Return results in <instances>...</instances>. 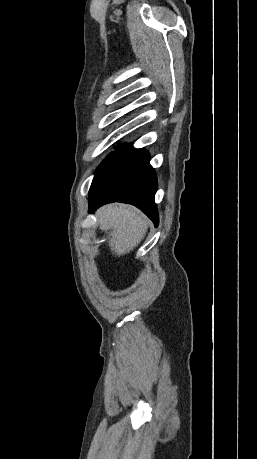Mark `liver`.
Returning a JSON list of instances; mask_svg holds the SVG:
<instances>
[{
    "label": "liver",
    "mask_w": 257,
    "mask_h": 459,
    "mask_svg": "<svg viewBox=\"0 0 257 459\" xmlns=\"http://www.w3.org/2000/svg\"><path fill=\"white\" fill-rule=\"evenodd\" d=\"M97 215L99 228L112 230L108 244L118 256L138 246L147 232V219L130 206L110 204L100 208Z\"/></svg>",
    "instance_id": "6515ba94"
}]
</instances>
